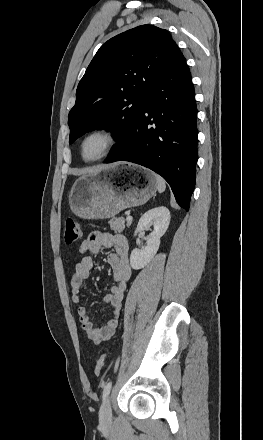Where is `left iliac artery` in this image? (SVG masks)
Returning a JSON list of instances; mask_svg holds the SVG:
<instances>
[{"label": "left iliac artery", "mask_w": 263, "mask_h": 440, "mask_svg": "<svg viewBox=\"0 0 263 440\" xmlns=\"http://www.w3.org/2000/svg\"><path fill=\"white\" fill-rule=\"evenodd\" d=\"M111 387H112V381H109V382L105 385L104 390H103V401H104V400L107 398V396L109 395L110 390H111Z\"/></svg>", "instance_id": "left-iliac-artery-1"}]
</instances>
